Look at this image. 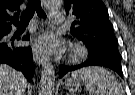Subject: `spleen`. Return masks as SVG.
<instances>
[{
    "label": "spleen",
    "instance_id": "obj_1",
    "mask_svg": "<svg viewBox=\"0 0 135 95\" xmlns=\"http://www.w3.org/2000/svg\"><path fill=\"white\" fill-rule=\"evenodd\" d=\"M85 83L90 95H124L120 82L108 70L86 67L72 73Z\"/></svg>",
    "mask_w": 135,
    "mask_h": 95
}]
</instances>
